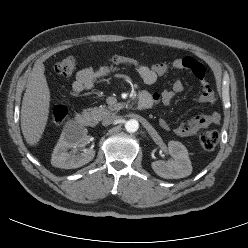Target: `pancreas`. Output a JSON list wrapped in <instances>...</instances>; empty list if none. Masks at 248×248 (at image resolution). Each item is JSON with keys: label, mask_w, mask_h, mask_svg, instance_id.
Here are the masks:
<instances>
[{"label": "pancreas", "mask_w": 248, "mask_h": 248, "mask_svg": "<svg viewBox=\"0 0 248 248\" xmlns=\"http://www.w3.org/2000/svg\"><path fill=\"white\" fill-rule=\"evenodd\" d=\"M124 106H125V104H123V103H118L114 106H109V107H106L105 105H101L99 107H94V108L88 109V111L90 112V114L93 118L100 120V119L106 117L107 115L112 114L113 112L119 111Z\"/></svg>", "instance_id": "obj_1"}]
</instances>
